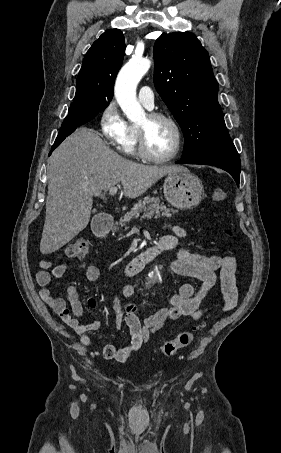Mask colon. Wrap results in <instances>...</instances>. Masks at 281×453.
Instances as JSON below:
<instances>
[{"label": "colon", "instance_id": "obj_1", "mask_svg": "<svg viewBox=\"0 0 281 453\" xmlns=\"http://www.w3.org/2000/svg\"><path fill=\"white\" fill-rule=\"evenodd\" d=\"M226 197L224 188H216L210 194V201L213 204H222ZM228 232V230H226ZM65 255L71 259H86L88 255L89 245L84 238H75L65 245ZM205 328V323H200L190 332H184L169 342H166L161 347V353L164 358L172 357L178 350L188 348L197 338L199 333Z\"/></svg>", "mask_w": 281, "mask_h": 453}]
</instances>
